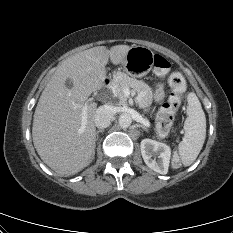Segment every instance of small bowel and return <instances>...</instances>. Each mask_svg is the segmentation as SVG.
<instances>
[{
  "label": "small bowel",
  "mask_w": 233,
  "mask_h": 233,
  "mask_svg": "<svg viewBox=\"0 0 233 233\" xmlns=\"http://www.w3.org/2000/svg\"><path fill=\"white\" fill-rule=\"evenodd\" d=\"M154 97L157 101H160L164 97V85L159 83L155 87Z\"/></svg>",
  "instance_id": "c3829d8e"
}]
</instances>
